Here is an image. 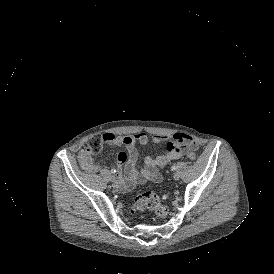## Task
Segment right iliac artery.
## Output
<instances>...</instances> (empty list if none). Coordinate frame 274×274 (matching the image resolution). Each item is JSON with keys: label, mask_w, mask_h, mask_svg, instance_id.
Instances as JSON below:
<instances>
[{"label": "right iliac artery", "mask_w": 274, "mask_h": 274, "mask_svg": "<svg viewBox=\"0 0 274 274\" xmlns=\"http://www.w3.org/2000/svg\"><path fill=\"white\" fill-rule=\"evenodd\" d=\"M111 173L115 174L116 170L115 169H111Z\"/></svg>", "instance_id": "1"}]
</instances>
